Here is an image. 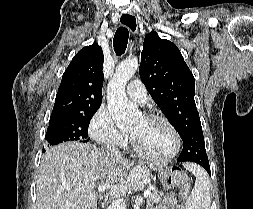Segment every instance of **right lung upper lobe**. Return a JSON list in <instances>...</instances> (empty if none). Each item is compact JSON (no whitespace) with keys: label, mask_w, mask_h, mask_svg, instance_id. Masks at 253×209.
Masks as SVG:
<instances>
[{"label":"right lung upper lobe","mask_w":253,"mask_h":209,"mask_svg":"<svg viewBox=\"0 0 253 209\" xmlns=\"http://www.w3.org/2000/svg\"><path fill=\"white\" fill-rule=\"evenodd\" d=\"M103 51L93 43L82 48L65 70L51 117L82 113L102 102Z\"/></svg>","instance_id":"obj_1"}]
</instances>
